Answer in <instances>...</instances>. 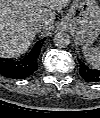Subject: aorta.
<instances>
[{
  "mask_svg": "<svg viewBox=\"0 0 100 118\" xmlns=\"http://www.w3.org/2000/svg\"><path fill=\"white\" fill-rule=\"evenodd\" d=\"M54 43L58 48H66L70 44V36L66 32H58L54 36Z\"/></svg>",
  "mask_w": 100,
  "mask_h": 118,
  "instance_id": "aorta-1",
  "label": "aorta"
}]
</instances>
